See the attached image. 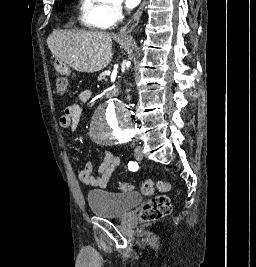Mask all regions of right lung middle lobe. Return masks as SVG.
<instances>
[{
  "instance_id": "right-lung-middle-lobe-1",
  "label": "right lung middle lobe",
  "mask_w": 256,
  "mask_h": 267,
  "mask_svg": "<svg viewBox=\"0 0 256 267\" xmlns=\"http://www.w3.org/2000/svg\"><path fill=\"white\" fill-rule=\"evenodd\" d=\"M69 1H70V0H66V1L64 2V4H69Z\"/></svg>"
}]
</instances>
